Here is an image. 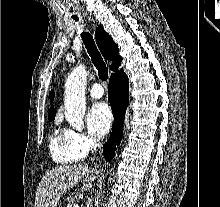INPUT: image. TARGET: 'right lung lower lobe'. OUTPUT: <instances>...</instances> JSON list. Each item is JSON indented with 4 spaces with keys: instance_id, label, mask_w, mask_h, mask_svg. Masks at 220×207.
<instances>
[{
    "instance_id": "right-lung-lower-lobe-1",
    "label": "right lung lower lobe",
    "mask_w": 220,
    "mask_h": 207,
    "mask_svg": "<svg viewBox=\"0 0 220 207\" xmlns=\"http://www.w3.org/2000/svg\"><path fill=\"white\" fill-rule=\"evenodd\" d=\"M121 61L122 59L112 68L117 73H112L109 80L108 98L114 116V123L112 134L103 146V154L107 160H111L114 157L115 145H119L122 139L125 111L129 103L128 78L123 69L118 70Z\"/></svg>"
}]
</instances>
